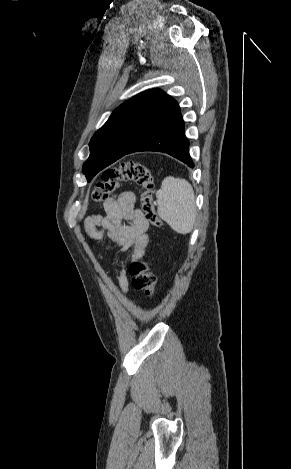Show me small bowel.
Here are the masks:
<instances>
[{"label": "small bowel", "mask_w": 291, "mask_h": 469, "mask_svg": "<svg viewBox=\"0 0 291 469\" xmlns=\"http://www.w3.org/2000/svg\"><path fill=\"white\" fill-rule=\"evenodd\" d=\"M103 207L105 215L93 214L85 221V230L89 237L96 241L107 237L113 244L121 247L123 253H131L132 262L142 259L150 242L147 234L149 223L143 212L136 207L135 195L130 191L123 192L116 199L106 200ZM118 286L123 293L129 289L124 268L120 272Z\"/></svg>", "instance_id": "small-bowel-1"}]
</instances>
